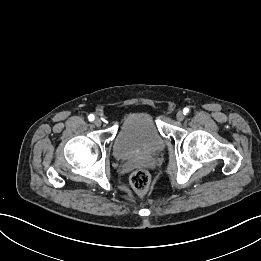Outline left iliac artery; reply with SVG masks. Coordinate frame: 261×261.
I'll use <instances>...</instances> for the list:
<instances>
[{
    "instance_id": "44dca946",
    "label": "left iliac artery",
    "mask_w": 261,
    "mask_h": 261,
    "mask_svg": "<svg viewBox=\"0 0 261 261\" xmlns=\"http://www.w3.org/2000/svg\"><path fill=\"white\" fill-rule=\"evenodd\" d=\"M183 112H184V114L186 115L188 112H189V108H184V110H183Z\"/></svg>"
}]
</instances>
